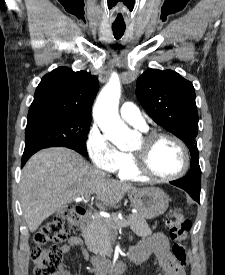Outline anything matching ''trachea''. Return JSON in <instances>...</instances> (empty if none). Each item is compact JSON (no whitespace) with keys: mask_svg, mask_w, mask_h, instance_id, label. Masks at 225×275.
Here are the masks:
<instances>
[{"mask_svg":"<svg viewBox=\"0 0 225 275\" xmlns=\"http://www.w3.org/2000/svg\"><path fill=\"white\" fill-rule=\"evenodd\" d=\"M114 37L116 39H120L124 32H125V27H112Z\"/></svg>","mask_w":225,"mask_h":275,"instance_id":"trachea-1","label":"trachea"}]
</instances>
